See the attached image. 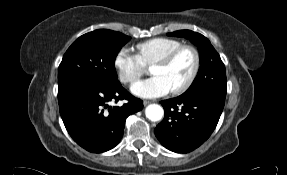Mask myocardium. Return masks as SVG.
Masks as SVG:
<instances>
[{"instance_id": "f54148a6", "label": "myocardium", "mask_w": 287, "mask_h": 175, "mask_svg": "<svg viewBox=\"0 0 287 175\" xmlns=\"http://www.w3.org/2000/svg\"><path fill=\"white\" fill-rule=\"evenodd\" d=\"M184 50H189L193 53L194 56V67L192 69L191 74L189 75L188 79L178 88L171 90V93L174 95H179L184 93L185 91H187L195 82L199 71H200V66H201V57H200V53L199 50L191 45V44H182L178 47H176L175 49L169 51L168 53H166L165 55H163L162 57H160L159 59H157L154 63L153 66L156 65H167L170 62H172L175 57L180 54L182 51Z\"/></svg>"}]
</instances>
